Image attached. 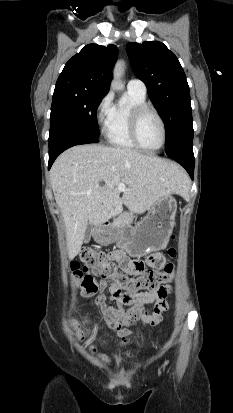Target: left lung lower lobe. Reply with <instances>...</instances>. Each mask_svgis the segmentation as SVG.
<instances>
[{
	"mask_svg": "<svg viewBox=\"0 0 233 413\" xmlns=\"http://www.w3.org/2000/svg\"><path fill=\"white\" fill-rule=\"evenodd\" d=\"M168 157L181 164L189 173L191 179L194 177V154L192 147H176L173 150H167Z\"/></svg>",
	"mask_w": 233,
	"mask_h": 413,
	"instance_id": "left-lung-lower-lobe-1",
	"label": "left lung lower lobe"
}]
</instances>
